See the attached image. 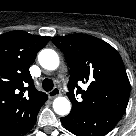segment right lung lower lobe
Here are the masks:
<instances>
[{
  "label": "right lung lower lobe",
  "mask_w": 136,
  "mask_h": 136,
  "mask_svg": "<svg viewBox=\"0 0 136 136\" xmlns=\"http://www.w3.org/2000/svg\"><path fill=\"white\" fill-rule=\"evenodd\" d=\"M36 119H37V116L35 118V120L30 124V126L22 133L20 134L19 136H23L24 134L28 133L34 126L35 122H36Z\"/></svg>",
  "instance_id": "obj_1"
}]
</instances>
